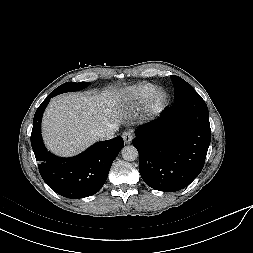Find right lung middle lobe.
Returning <instances> with one entry per match:
<instances>
[{"label": "right lung middle lobe", "mask_w": 253, "mask_h": 253, "mask_svg": "<svg viewBox=\"0 0 253 253\" xmlns=\"http://www.w3.org/2000/svg\"><path fill=\"white\" fill-rule=\"evenodd\" d=\"M88 85L89 83L87 82H79V83L66 82L60 85L59 87H57L53 92H56L57 94H61L64 92L77 91V90L87 87Z\"/></svg>", "instance_id": "obj_1"}]
</instances>
